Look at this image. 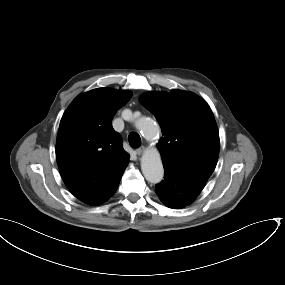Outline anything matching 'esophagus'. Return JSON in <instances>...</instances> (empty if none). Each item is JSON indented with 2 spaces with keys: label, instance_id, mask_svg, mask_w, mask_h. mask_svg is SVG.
I'll list each match as a JSON object with an SVG mask.
<instances>
[{
  "label": "esophagus",
  "instance_id": "obj_1",
  "mask_svg": "<svg viewBox=\"0 0 285 285\" xmlns=\"http://www.w3.org/2000/svg\"><path fill=\"white\" fill-rule=\"evenodd\" d=\"M144 150H145V148L143 146H141V147L137 148L135 150V152H136L137 155H141Z\"/></svg>",
  "mask_w": 285,
  "mask_h": 285
}]
</instances>
